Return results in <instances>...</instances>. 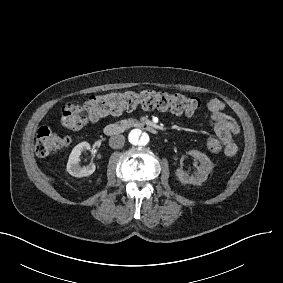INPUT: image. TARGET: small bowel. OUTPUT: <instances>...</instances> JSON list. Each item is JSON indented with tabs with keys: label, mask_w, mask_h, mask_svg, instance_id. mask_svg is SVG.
<instances>
[{
	"label": "small bowel",
	"mask_w": 283,
	"mask_h": 283,
	"mask_svg": "<svg viewBox=\"0 0 283 283\" xmlns=\"http://www.w3.org/2000/svg\"><path fill=\"white\" fill-rule=\"evenodd\" d=\"M225 109V104L219 99H212L207 103V111L213 123V130L224 144V155L232 158L238 152L236 136L240 129L237 122L225 112Z\"/></svg>",
	"instance_id": "1"
}]
</instances>
